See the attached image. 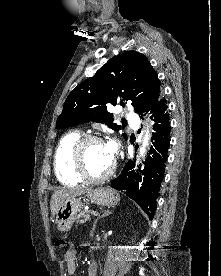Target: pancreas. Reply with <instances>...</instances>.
<instances>
[{"label": "pancreas", "mask_w": 221, "mask_h": 276, "mask_svg": "<svg viewBox=\"0 0 221 276\" xmlns=\"http://www.w3.org/2000/svg\"><path fill=\"white\" fill-rule=\"evenodd\" d=\"M90 219V211H83L77 216V222L80 224L85 223Z\"/></svg>", "instance_id": "obj_1"}]
</instances>
